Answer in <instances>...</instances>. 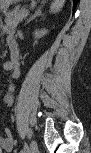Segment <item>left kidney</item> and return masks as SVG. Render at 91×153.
<instances>
[{"label":"left kidney","mask_w":91,"mask_h":153,"mask_svg":"<svg viewBox=\"0 0 91 153\" xmlns=\"http://www.w3.org/2000/svg\"><path fill=\"white\" fill-rule=\"evenodd\" d=\"M47 33H48V31L46 29L36 30L34 32V37L36 39H39V38L43 37L44 35H46Z\"/></svg>","instance_id":"5707ae66"}]
</instances>
